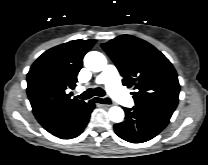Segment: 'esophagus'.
<instances>
[{
	"label": "esophagus",
	"mask_w": 208,
	"mask_h": 165,
	"mask_svg": "<svg viewBox=\"0 0 208 165\" xmlns=\"http://www.w3.org/2000/svg\"><path fill=\"white\" fill-rule=\"evenodd\" d=\"M94 102L103 106H111L112 102L109 99L101 98V97H94Z\"/></svg>",
	"instance_id": "34e87169"
}]
</instances>
